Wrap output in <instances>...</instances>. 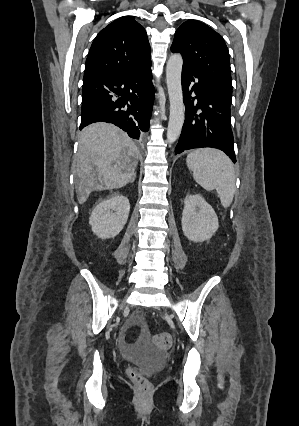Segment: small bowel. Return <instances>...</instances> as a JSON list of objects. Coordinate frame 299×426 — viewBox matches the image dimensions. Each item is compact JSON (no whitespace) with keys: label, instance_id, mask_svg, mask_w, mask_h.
<instances>
[{"label":"small bowel","instance_id":"c3829d8e","mask_svg":"<svg viewBox=\"0 0 299 426\" xmlns=\"http://www.w3.org/2000/svg\"><path fill=\"white\" fill-rule=\"evenodd\" d=\"M139 321H140V318H139V317H135V318L133 319V323H137V322H139ZM123 348H124L125 352H126L129 356H133V355H135V353H136V348H135V346H134L133 344H131V343L124 342V343H123Z\"/></svg>","mask_w":299,"mask_h":426}]
</instances>
